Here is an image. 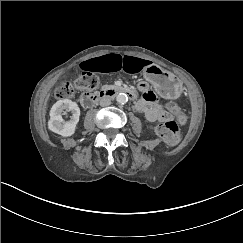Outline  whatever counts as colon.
Here are the masks:
<instances>
[{"label":"colon","instance_id":"obj_1","mask_svg":"<svg viewBox=\"0 0 243 243\" xmlns=\"http://www.w3.org/2000/svg\"><path fill=\"white\" fill-rule=\"evenodd\" d=\"M99 78L91 73L81 74L73 83H62L58 86L55 96L58 99L73 97L78 90L91 91L98 87ZM167 108L172 119L159 124L155 128L156 134L168 145H175L180 141L179 126L187 121L186 114L174 102H168Z\"/></svg>","mask_w":243,"mask_h":243}]
</instances>
